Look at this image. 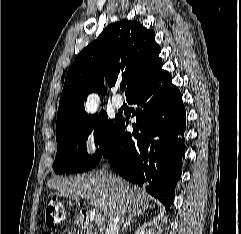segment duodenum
<instances>
[{"label": "duodenum", "instance_id": "410a0bca", "mask_svg": "<svg viewBox=\"0 0 241 234\" xmlns=\"http://www.w3.org/2000/svg\"><path fill=\"white\" fill-rule=\"evenodd\" d=\"M79 225L83 228L90 229L89 214L86 211H81L78 216Z\"/></svg>", "mask_w": 241, "mask_h": 234}]
</instances>
